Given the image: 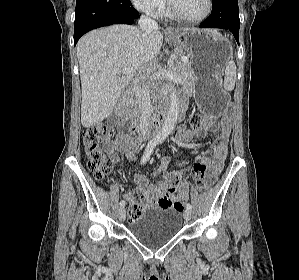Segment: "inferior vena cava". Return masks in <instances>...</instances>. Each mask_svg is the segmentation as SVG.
<instances>
[{
  "label": "inferior vena cava",
  "mask_w": 299,
  "mask_h": 280,
  "mask_svg": "<svg viewBox=\"0 0 299 280\" xmlns=\"http://www.w3.org/2000/svg\"><path fill=\"white\" fill-rule=\"evenodd\" d=\"M138 24L141 31L146 34L158 28L156 21L144 15L140 17ZM148 79L139 71L137 77L132 82V90L140 111V131L143 137L149 132V120L153 111L146 83Z\"/></svg>",
  "instance_id": "obj_1"
}]
</instances>
